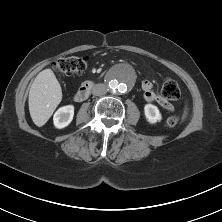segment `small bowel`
I'll return each mask as SVG.
<instances>
[{"mask_svg": "<svg viewBox=\"0 0 222 222\" xmlns=\"http://www.w3.org/2000/svg\"><path fill=\"white\" fill-rule=\"evenodd\" d=\"M141 87L146 101L157 102L162 108H164L167 111L173 110V105L156 93L153 84L149 80L142 81ZM185 113H187L186 110Z\"/></svg>", "mask_w": 222, "mask_h": 222, "instance_id": "c3829d8e", "label": "small bowel"}]
</instances>
